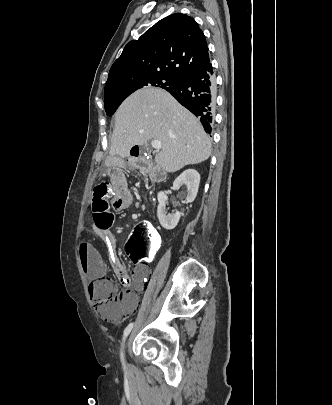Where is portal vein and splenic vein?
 <instances>
[{
    "mask_svg": "<svg viewBox=\"0 0 332 405\" xmlns=\"http://www.w3.org/2000/svg\"><path fill=\"white\" fill-rule=\"evenodd\" d=\"M151 146L152 148H154L155 150H160L162 148V144L159 140H153L151 142Z\"/></svg>",
    "mask_w": 332,
    "mask_h": 405,
    "instance_id": "portal-vein-and-splenic-vein-1",
    "label": "portal vein and splenic vein"
}]
</instances>
